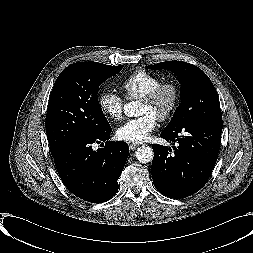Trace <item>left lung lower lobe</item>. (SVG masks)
Instances as JSON below:
<instances>
[{
  "label": "left lung lower lobe",
  "mask_w": 253,
  "mask_h": 253,
  "mask_svg": "<svg viewBox=\"0 0 253 253\" xmlns=\"http://www.w3.org/2000/svg\"><path fill=\"white\" fill-rule=\"evenodd\" d=\"M222 121L191 122L173 133L163 132L178 147L153 144L151 173L155 188L171 198H185L199 191L208 181L216 163Z\"/></svg>",
  "instance_id": "0a47b994"
}]
</instances>
